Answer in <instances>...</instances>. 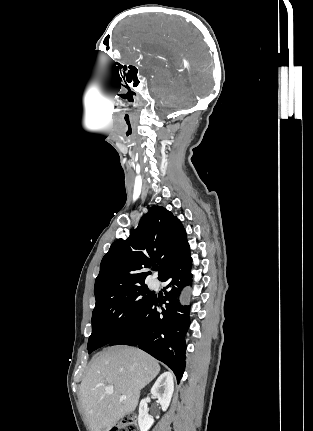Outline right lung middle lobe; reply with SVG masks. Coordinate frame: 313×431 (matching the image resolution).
I'll list each match as a JSON object with an SVG mask.
<instances>
[{"label": "right lung middle lobe", "mask_w": 313, "mask_h": 431, "mask_svg": "<svg viewBox=\"0 0 313 431\" xmlns=\"http://www.w3.org/2000/svg\"><path fill=\"white\" fill-rule=\"evenodd\" d=\"M154 296L146 285L129 288L96 302L88 351L109 344L125 332L146 309Z\"/></svg>", "instance_id": "dd1d6c3e"}]
</instances>
